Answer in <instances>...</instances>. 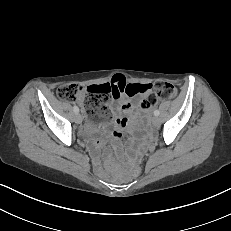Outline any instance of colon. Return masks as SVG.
Returning <instances> with one entry per match:
<instances>
[{"instance_id":"1","label":"colon","mask_w":231,"mask_h":231,"mask_svg":"<svg viewBox=\"0 0 231 231\" xmlns=\"http://www.w3.org/2000/svg\"><path fill=\"white\" fill-rule=\"evenodd\" d=\"M119 89L110 83L92 85L86 88L76 85H63L57 89V96L65 101H77L85 109L89 118L93 121L107 122L111 113L107 107L108 101ZM131 94H146L143 101L144 107H154L160 98L170 99L175 94V87L168 82H156L154 85L145 84L129 88ZM142 166L136 163L131 171L133 176L141 173Z\"/></svg>"}]
</instances>
